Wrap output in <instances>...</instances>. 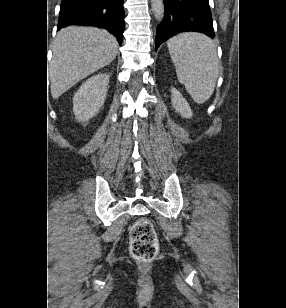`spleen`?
Wrapping results in <instances>:
<instances>
[{
	"label": "spleen",
	"mask_w": 286,
	"mask_h": 308,
	"mask_svg": "<svg viewBox=\"0 0 286 308\" xmlns=\"http://www.w3.org/2000/svg\"><path fill=\"white\" fill-rule=\"evenodd\" d=\"M178 81L198 103L206 102L214 92L219 74L215 43L201 33H180L167 41Z\"/></svg>",
	"instance_id": "obj_1"
}]
</instances>
